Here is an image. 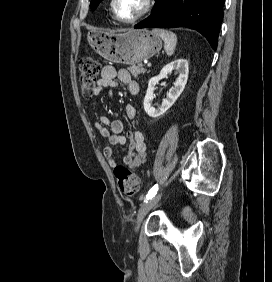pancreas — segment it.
<instances>
[{"instance_id": "cf45deb5", "label": "pancreas", "mask_w": 272, "mask_h": 282, "mask_svg": "<svg viewBox=\"0 0 272 282\" xmlns=\"http://www.w3.org/2000/svg\"><path fill=\"white\" fill-rule=\"evenodd\" d=\"M128 70L134 78H137L140 74H144L146 72L141 63L130 66Z\"/></svg>"}]
</instances>
